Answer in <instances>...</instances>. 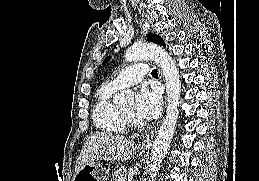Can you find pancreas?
<instances>
[{
	"mask_svg": "<svg viewBox=\"0 0 259 181\" xmlns=\"http://www.w3.org/2000/svg\"><path fill=\"white\" fill-rule=\"evenodd\" d=\"M126 174V168L124 166L120 167L112 173L111 181H119L120 178H124Z\"/></svg>",
	"mask_w": 259,
	"mask_h": 181,
	"instance_id": "cf45deb5",
	"label": "pancreas"
}]
</instances>
